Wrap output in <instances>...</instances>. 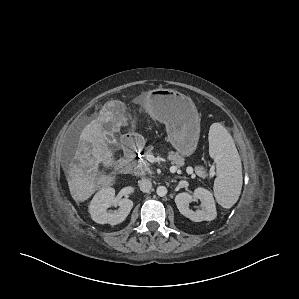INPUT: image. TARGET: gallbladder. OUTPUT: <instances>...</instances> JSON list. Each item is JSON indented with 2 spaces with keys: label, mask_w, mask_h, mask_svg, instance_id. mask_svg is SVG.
<instances>
[{
  "label": "gallbladder",
  "mask_w": 299,
  "mask_h": 299,
  "mask_svg": "<svg viewBox=\"0 0 299 299\" xmlns=\"http://www.w3.org/2000/svg\"><path fill=\"white\" fill-rule=\"evenodd\" d=\"M113 124L110 122L104 123L102 125V131L103 134L105 135L106 139H107V145L111 148V149H115L116 147H118L119 143L117 142V140L114 138L113 135Z\"/></svg>",
  "instance_id": "1"
}]
</instances>
